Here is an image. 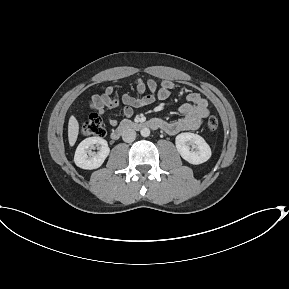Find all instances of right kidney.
<instances>
[{
	"label": "right kidney",
	"mask_w": 289,
	"mask_h": 289,
	"mask_svg": "<svg viewBox=\"0 0 289 289\" xmlns=\"http://www.w3.org/2000/svg\"><path fill=\"white\" fill-rule=\"evenodd\" d=\"M95 145L100 149L97 153L92 151ZM109 152L110 149L106 140L101 137H89L78 145L74 156V162L82 169H96L103 164L104 160L109 155Z\"/></svg>",
	"instance_id": "obj_1"
}]
</instances>
